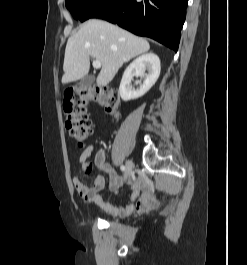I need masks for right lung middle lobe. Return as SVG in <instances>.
Segmentation results:
<instances>
[{"mask_svg":"<svg viewBox=\"0 0 247 265\" xmlns=\"http://www.w3.org/2000/svg\"><path fill=\"white\" fill-rule=\"evenodd\" d=\"M100 0H66V7L76 20H80L84 14Z\"/></svg>","mask_w":247,"mask_h":265,"instance_id":"dd1d6c3e","label":"right lung middle lobe"}]
</instances>
